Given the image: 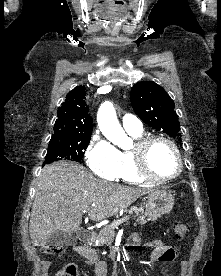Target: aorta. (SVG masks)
<instances>
[{
    "mask_svg": "<svg viewBox=\"0 0 221 276\" xmlns=\"http://www.w3.org/2000/svg\"><path fill=\"white\" fill-rule=\"evenodd\" d=\"M97 122L99 129L110 142L119 147H125L129 138L121 127L111 102H104L100 106Z\"/></svg>",
    "mask_w": 221,
    "mask_h": 276,
    "instance_id": "aorta-1",
    "label": "aorta"
}]
</instances>
